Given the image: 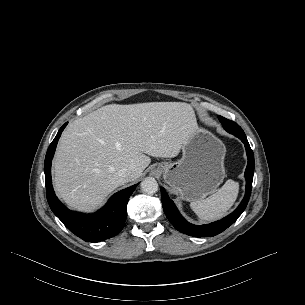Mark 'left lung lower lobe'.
<instances>
[{
    "label": "left lung lower lobe",
    "instance_id": "0a47b994",
    "mask_svg": "<svg viewBox=\"0 0 305 305\" xmlns=\"http://www.w3.org/2000/svg\"><path fill=\"white\" fill-rule=\"evenodd\" d=\"M240 138L244 143L246 148V153L248 157V164L245 170V178H246V193L238 208L223 218L220 221L212 222L210 224L205 225H193L187 222L182 215L178 212L173 201L168 197L164 188H161V199L164 212L169 219V221L173 224V226L180 232L185 233L194 237H212L227 229L231 226L238 217L245 210L252 190V181L254 174V155L253 151L248 143L246 135H235Z\"/></svg>",
    "mask_w": 305,
    "mask_h": 305
}]
</instances>
